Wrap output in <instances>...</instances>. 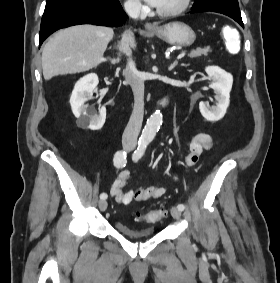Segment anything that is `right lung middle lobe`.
Instances as JSON below:
<instances>
[{
  "instance_id": "dd1d6c3e",
  "label": "right lung middle lobe",
  "mask_w": 280,
  "mask_h": 283,
  "mask_svg": "<svg viewBox=\"0 0 280 283\" xmlns=\"http://www.w3.org/2000/svg\"><path fill=\"white\" fill-rule=\"evenodd\" d=\"M114 0H47L45 11L54 9L60 6H69V5H107Z\"/></svg>"
}]
</instances>
